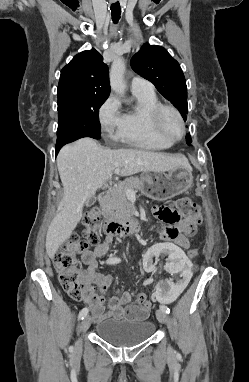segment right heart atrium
<instances>
[{
	"instance_id": "obj_1",
	"label": "right heart atrium",
	"mask_w": 249,
	"mask_h": 382,
	"mask_svg": "<svg viewBox=\"0 0 249 382\" xmlns=\"http://www.w3.org/2000/svg\"><path fill=\"white\" fill-rule=\"evenodd\" d=\"M99 125L103 133L110 137H117L121 132L125 117L121 111L119 101L110 96L100 107L98 112Z\"/></svg>"
}]
</instances>
